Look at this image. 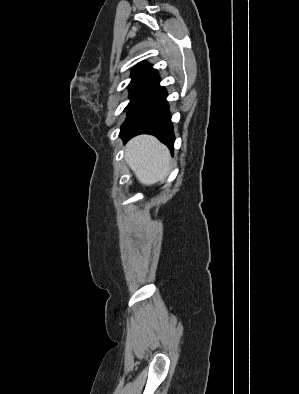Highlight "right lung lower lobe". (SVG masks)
Returning <instances> with one entry per match:
<instances>
[{
    "label": "right lung lower lobe",
    "instance_id": "98d812e1",
    "mask_svg": "<svg viewBox=\"0 0 299 394\" xmlns=\"http://www.w3.org/2000/svg\"><path fill=\"white\" fill-rule=\"evenodd\" d=\"M166 96L165 88L157 84L138 98L127 111V118L121 126L120 137L124 142L147 133L173 150L175 138Z\"/></svg>",
    "mask_w": 299,
    "mask_h": 394
}]
</instances>
